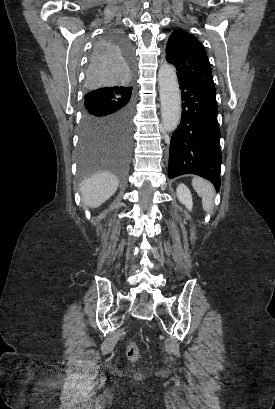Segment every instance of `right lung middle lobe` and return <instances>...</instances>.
<instances>
[{"instance_id":"1","label":"right lung middle lobe","mask_w":275,"mask_h":409,"mask_svg":"<svg viewBox=\"0 0 275 409\" xmlns=\"http://www.w3.org/2000/svg\"><path fill=\"white\" fill-rule=\"evenodd\" d=\"M117 31L99 37L90 55L83 94L80 141L74 182H89L90 173H115L121 182L133 146L132 87L136 51ZM129 87V89H125ZM124 188V183L116 184Z\"/></svg>"}]
</instances>
